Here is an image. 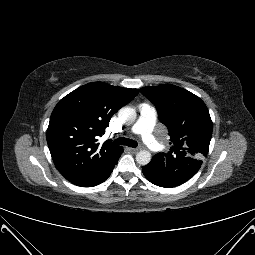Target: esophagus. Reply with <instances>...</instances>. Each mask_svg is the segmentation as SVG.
<instances>
[{
	"label": "esophagus",
	"mask_w": 255,
	"mask_h": 255,
	"mask_svg": "<svg viewBox=\"0 0 255 255\" xmlns=\"http://www.w3.org/2000/svg\"><path fill=\"white\" fill-rule=\"evenodd\" d=\"M130 152H132V153H136V152H138L139 151V149L138 148H127Z\"/></svg>",
	"instance_id": "esophagus-1"
}]
</instances>
